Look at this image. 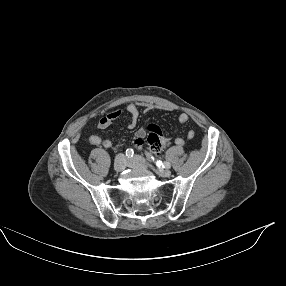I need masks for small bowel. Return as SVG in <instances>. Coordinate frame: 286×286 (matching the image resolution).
Returning a JSON list of instances; mask_svg holds the SVG:
<instances>
[{"mask_svg":"<svg viewBox=\"0 0 286 286\" xmlns=\"http://www.w3.org/2000/svg\"><path fill=\"white\" fill-rule=\"evenodd\" d=\"M141 106L147 111H154V110H167V108L158 106V105H154L152 103H142ZM126 110L130 116V121L128 124V127L130 129H134L137 125L139 116H140V110H139V105L134 103V102H130L127 106H126ZM122 111L121 110H115L111 113H109L108 115L102 117L99 121H98V128L99 129H106L107 127H109L115 120H117L120 115H121ZM189 120V115L187 113H181L178 118H177V122L178 125H183L186 122H188ZM136 136L138 138H143L146 135V130L144 128H139L136 131ZM195 136V132L193 130H188L187 132V138L188 139H193ZM89 142L92 145L98 146V145H102L105 148H110L113 145V140L110 138L107 139H102L99 135H91L89 137ZM168 144V140L164 139L162 142L163 147L166 146ZM175 144L179 147H182L185 144V140L182 137H177L175 139Z\"/></svg>","mask_w":286,"mask_h":286,"instance_id":"obj_1","label":"small bowel"}]
</instances>
